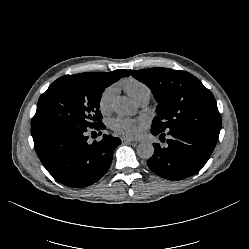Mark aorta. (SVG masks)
Returning a JSON list of instances; mask_svg holds the SVG:
<instances>
[{"instance_id": "obj_1", "label": "aorta", "mask_w": 249, "mask_h": 249, "mask_svg": "<svg viewBox=\"0 0 249 249\" xmlns=\"http://www.w3.org/2000/svg\"><path fill=\"white\" fill-rule=\"evenodd\" d=\"M113 110L119 115H131L135 112L133 103L127 97L118 96L113 100ZM154 154V147L151 143L143 141L137 146V155L142 159H149Z\"/></svg>"}]
</instances>
